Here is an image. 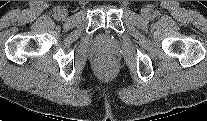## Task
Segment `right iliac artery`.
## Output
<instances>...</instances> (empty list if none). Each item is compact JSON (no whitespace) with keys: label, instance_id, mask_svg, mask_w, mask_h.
<instances>
[{"label":"right iliac artery","instance_id":"82829eb1","mask_svg":"<svg viewBox=\"0 0 207 121\" xmlns=\"http://www.w3.org/2000/svg\"><path fill=\"white\" fill-rule=\"evenodd\" d=\"M54 12H55L56 15H59L60 8H56V9L54 10Z\"/></svg>","mask_w":207,"mask_h":121}]
</instances>
